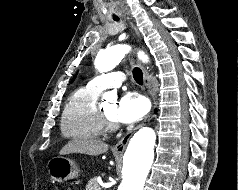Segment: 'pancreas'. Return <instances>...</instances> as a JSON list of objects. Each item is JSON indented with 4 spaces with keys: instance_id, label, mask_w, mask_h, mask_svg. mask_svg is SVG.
<instances>
[{
    "instance_id": "cf45deb5",
    "label": "pancreas",
    "mask_w": 238,
    "mask_h": 190,
    "mask_svg": "<svg viewBox=\"0 0 238 190\" xmlns=\"http://www.w3.org/2000/svg\"><path fill=\"white\" fill-rule=\"evenodd\" d=\"M99 184L97 178H92L88 181L86 185V190H98Z\"/></svg>"
}]
</instances>
